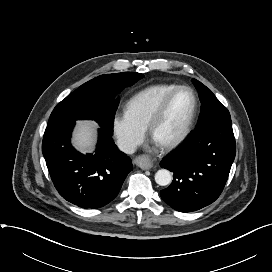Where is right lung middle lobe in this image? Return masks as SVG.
<instances>
[{
	"mask_svg": "<svg viewBox=\"0 0 272 272\" xmlns=\"http://www.w3.org/2000/svg\"><path fill=\"white\" fill-rule=\"evenodd\" d=\"M143 77L140 73L123 72L101 75L86 82L54 108L47 127L90 119L112 134L114 116L120 101L118 94Z\"/></svg>",
	"mask_w": 272,
	"mask_h": 272,
	"instance_id": "right-lung-middle-lobe-1",
	"label": "right lung middle lobe"
}]
</instances>
